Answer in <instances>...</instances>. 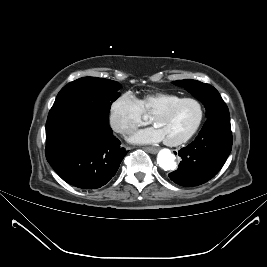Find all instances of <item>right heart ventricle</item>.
<instances>
[{"mask_svg": "<svg viewBox=\"0 0 267 267\" xmlns=\"http://www.w3.org/2000/svg\"><path fill=\"white\" fill-rule=\"evenodd\" d=\"M181 97L174 93L168 92H156L143 96L139 100L143 111L149 115H152L156 110L174 102Z\"/></svg>", "mask_w": 267, "mask_h": 267, "instance_id": "right-heart-ventricle-1", "label": "right heart ventricle"}]
</instances>
